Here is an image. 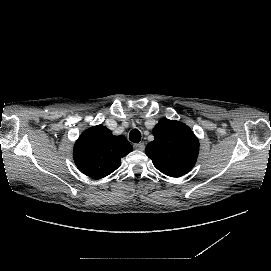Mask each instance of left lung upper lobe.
<instances>
[{"mask_svg": "<svg viewBox=\"0 0 271 271\" xmlns=\"http://www.w3.org/2000/svg\"><path fill=\"white\" fill-rule=\"evenodd\" d=\"M154 140L145 150L154 166L163 174L178 177L196 163L199 142L192 130L179 121L162 119L153 129Z\"/></svg>", "mask_w": 271, "mask_h": 271, "instance_id": "1", "label": "left lung upper lobe"}]
</instances>
